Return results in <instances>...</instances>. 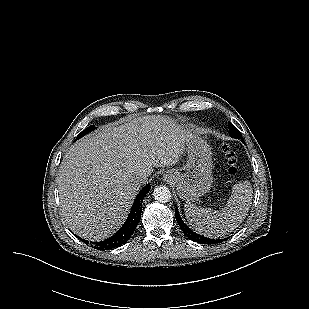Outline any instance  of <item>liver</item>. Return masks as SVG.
<instances>
[{"label":"liver","instance_id":"1","mask_svg":"<svg viewBox=\"0 0 309 309\" xmlns=\"http://www.w3.org/2000/svg\"><path fill=\"white\" fill-rule=\"evenodd\" d=\"M188 133L164 116L105 125L64 155L57 177L61 215L77 235L104 240L125 221L140 189L133 177L173 166Z\"/></svg>","mask_w":309,"mask_h":309}]
</instances>
